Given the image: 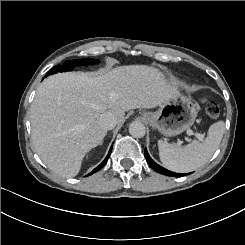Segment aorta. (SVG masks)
I'll return each mask as SVG.
<instances>
[{"instance_id":"1","label":"aorta","mask_w":245,"mask_h":245,"mask_svg":"<svg viewBox=\"0 0 245 245\" xmlns=\"http://www.w3.org/2000/svg\"><path fill=\"white\" fill-rule=\"evenodd\" d=\"M129 133L135 138H142L146 133V128L143 123L133 121L129 126Z\"/></svg>"}]
</instances>
